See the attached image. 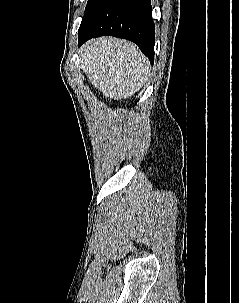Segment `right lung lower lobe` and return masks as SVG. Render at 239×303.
Wrapping results in <instances>:
<instances>
[{
  "mask_svg": "<svg viewBox=\"0 0 239 303\" xmlns=\"http://www.w3.org/2000/svg\"><path fill=\"white\" fill-rule=\"evenodd\" d=\"M104 35L133 41L153 64L155 26L150 0H108L89 25L78 32V46Z\"/></svg>",
  "mask_w": 239,
  "mask_h": 303,
  "instance_id": "obj_1",
  "label": "right lung lower lobe"
}]
</instances>
